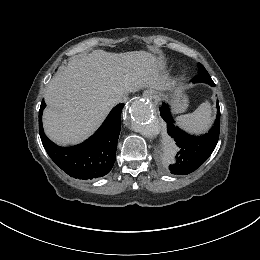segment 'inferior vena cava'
I'll return each instance as SVG.
<instances>
[{
  "label": "inferior vena cava",
  "instance_id": "obj_1",
  "mask_svg": "<svg viewBox=\"0 0 260 260\" xmlns=\"http://www.w3.org/2000/svg\"><path fill=\"white\" fill-rule=\"evenodd\" d=\"M128 100V97L126 94L117 95L113 100V104L117 105L119 103H125Z\"/></svg>",
  "mask_w": 260,
  "mask_h": 260
}]
</instances>
